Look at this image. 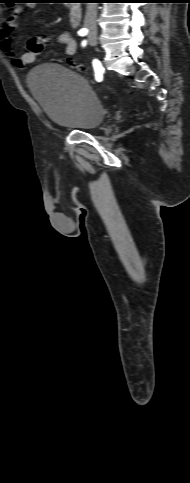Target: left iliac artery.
I'll return each mask as SVG.
<instances>
[{"instance_id":"obj_1","label":"left iliac artery","mask_w":190,"mask_h":483,"mask_svg":"<svg viewBox=\"0 0 190 483\" xmlns=\"http://www.w3.org/2000/svg\"><path fill=\"white\" fill-rule=\"evenodd\" d=\"M85 45H86V41H83V42H82V46H85Z\"/></svg>"}]
</instances>
